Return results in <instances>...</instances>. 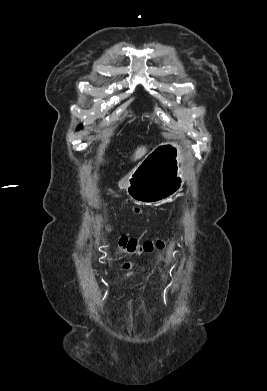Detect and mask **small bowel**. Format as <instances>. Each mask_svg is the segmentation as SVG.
<instances>
[{
	"label": "small bowel",
	"mask_w": 267,
	"mask_h": 391,
	"mask_svg": "<svg viewBox=\"0 0 267 391\" xmlns=\"http://www.w3.org/2000/svg\"><path fill=\"white\" fill-rule=\"evenodd\" d=\"M123 268L125 270H127V273L125 274V278L129 279L130 277H132L134 275V272L130 271L129 266L125 265Z\"/></svg>",
	"instance_id": "c3829d8e"
}]
</instances>
